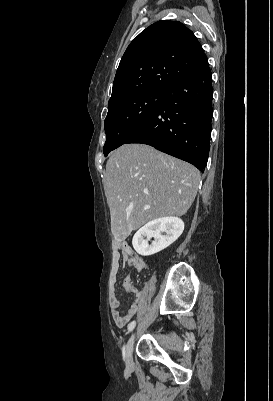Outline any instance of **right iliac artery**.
Wrapping results in <instances>:
<instances>
[{
	"label": "right iliac artery",
	"mask_w": 273,
	"mask_h": 401,
	"mask_svg": "<svg viewBox=\"0 0 273 401\" xmlns=\"http://www.w3.org/2000/svg\"><path fill=\"white\" fill-rule=\"evenodd\" d=\"M135 325H136L135 321H132L131 323H129V325H128V333L131 332L134 329Z\"/></svg>",
	"instance_id": "1"
}]
</instances>
